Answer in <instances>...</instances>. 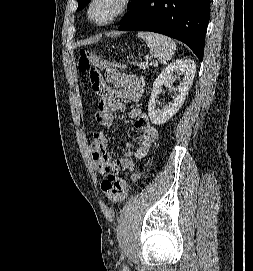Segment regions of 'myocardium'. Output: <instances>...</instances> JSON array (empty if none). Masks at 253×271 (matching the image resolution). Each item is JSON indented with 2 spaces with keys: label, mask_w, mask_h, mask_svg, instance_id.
I'll return each mask as SVG.
<instances>
[{
  "label": "myocardium",
  "mask_w": 253,
  "mask_h": 271,
  "mask_svg": "<svg viewBox=\"0 0 253 271\" xmlns=\"http://www.w3.org/2000/svg\"><path fill=\"white\" fill-rule=\"evenodd\" d=\"M96 2L97 0H90L88 9H87L88 18L90 19L92 23H94L97 26H106L114 22L123 14H125L131 6L132 0H118V7L116 11L104 21H97L92 16V8Z\"/></svg>",
  "instance_id": "obj_1"
}]
</instances>
